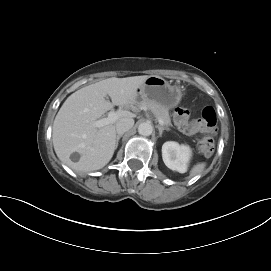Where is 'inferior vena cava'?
<instances>
[{"label": "inferior vena cava", "instance_id": "602c4592", "mask_svg": "<svg viewBox=\"0 0 271 271\" xmlns=\"http://www.w3.org/2000/svg\"><path fill=\"white\" fill-rule=\"evenodd\" d=\"M134 125L133 118H122L116 123V131L118 135L124 134L126 131L131 129Z\"/></svg>", "mask_w": 271, "mask_h": 271}]
</instances>
